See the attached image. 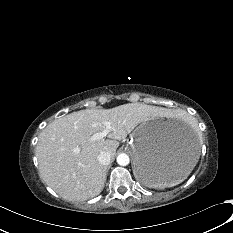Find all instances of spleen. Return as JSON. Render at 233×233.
<instances>
[{
	"instance_id": "obj_1",
	"label": "spleen",
	"mask_w": 233,
	"mask_h": 233,
	"mask_svg": "<svg viewBox=\"0 0 233 233\" xmlns=\"http://www.w3.org/2000/svg\"><path fill=\"white\" fill-rule=\"evenodd\" d=\"M171 185H173V184H171ZM170 186V185H169ZM160 187H166V186H160Z\"/></svg>"
}]
</instances>
